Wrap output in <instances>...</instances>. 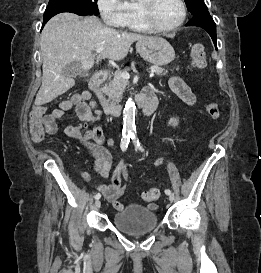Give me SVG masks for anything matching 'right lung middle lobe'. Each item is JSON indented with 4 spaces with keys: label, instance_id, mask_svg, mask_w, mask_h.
Segmentation results:
<instances>
[{
    "label": "right lung middle lobe",
    "instance_id": "dd1d6c3e",
    "mask_svg": "<svg viewBox=\"0 0 261 273\" xmlns=\"http://www.w3.org/2000/svg\"><path fill=\"white\" fill-rule=\"evenodd\" d=\"M76 2L81 3L87 10L89 15H98L99 10L97 6V0H50L44 17H53L61 12L74 13V5Z\"/></svg>",
    "mask_w": 261,
    "mask_h": 273
}]
</instances>
